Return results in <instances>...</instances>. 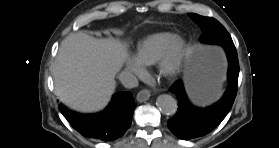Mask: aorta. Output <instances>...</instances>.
<instances>
[{"mask_svg":"<svg viewBox=\"0 0 279 148\" xmlns=\"http://www.w3.org/2000/svg\"><path fill=\"white\" fill-rule=\"evenodd\" d=\"M156 105L158 109L165 115H173L177 111V101L174 97L168 94L158 96Z\"/></svg>","mask_w":279,"mask_h":148,"instance_id":"1","label":"aorta"}]
</instances>
